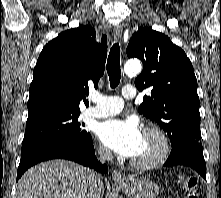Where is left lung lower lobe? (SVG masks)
<instances>
[{
  "label": "left lung lower lobe",
  "mask_w": 221,
  "mask_h": 198,
  "mask_svg": "<svg viewBox=\"0 0 221 198\" xmlns=\"http://www.w3.org/2000/svg\"><path fill=\"white\" fill-rule=\"evenodd\" d=\"M165 166L185 165L193 168L206 179V164L203 157V148L197 144L184 145L172 149Z\"/></svg>",
  "instance_id": "0a47b994"
}]
</instances>
